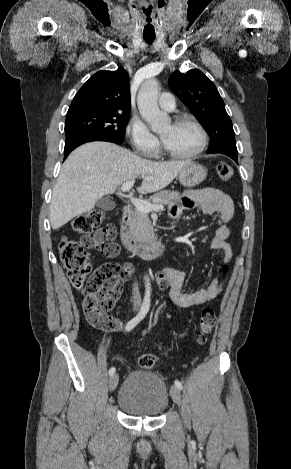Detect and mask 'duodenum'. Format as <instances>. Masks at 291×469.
<instances>
[{"instance_id":"1","label":"duodenum","mask_w":291,"mask_h":469,"mask_svg":"<svg viewBox=\"0 0 291 469\" xmlns=\"http://www.w3.org/2000/svg\"><path fill=\"white\" fill-rule=\"evenodd\" d=\"M131 216V207L125 205L122 210L120 239L123 246L131 252H134L146 259L161 257L165 252L163 243L143 244L136 241L129 229V220Z\"/></svg>"}]
</instances>
